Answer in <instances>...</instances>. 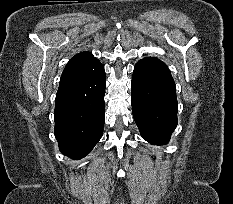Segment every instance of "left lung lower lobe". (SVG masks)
<instances>
[{
	"label": "left lung lower lobe",
	"instance_id": "obj_1",
	"mask_svg": "<svg viewBox=\"0 0 233 204\" xmlns=\"http://www.w3.org/2000/svg\"><path fill=\"white\" fill-rule=\"evenodd\" d=\"M134 120L151 144H166L177 126L176 88L166 64L146 57L135 65L131 83Z\"/></svg>",
	"mask_w": 233,
	"mask_h": 204
}]
</instances>
